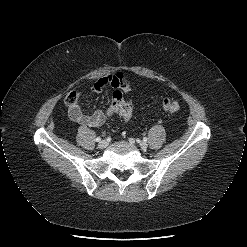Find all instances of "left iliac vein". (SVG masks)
I'll return each mask as SVG.
<instances>
[{
    "label": "left iliac vein",
    "mask_w": 247,
    "mask_h": 247,
    "mask_svg": "<svg viewBox=\"0 0 247 247\" xmlns=\"http://www.w3.org/2000/svg\"><path fill=\"white\" fill-rule=\"evenodd\" d=\"M140 147H141L142 149H146V148L148 147V144H147L146 142H141V143H140Z\"/></svg>",
    "instance_id": "1"
}]
</instances>
